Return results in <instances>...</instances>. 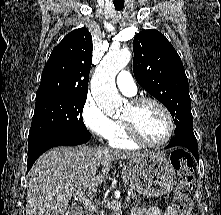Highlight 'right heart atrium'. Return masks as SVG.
Instances as JSON below:
<instances>
[{"instance_id": "obj_1", "label": "right heart atrium", "mask_w": 221, "mask_h": 215, "mask_svg": "<svg viewBox=\"0 0 221 215\" xmlns=\"http://www.w3.org/2000/svg\"><path fill=\"white\" fill-rule=\"evenodd\" d=\"M81 118L87 130L101 139H108L114 132V120L92 98H87L84 102Z\"/></svg>"}]
</instances>
